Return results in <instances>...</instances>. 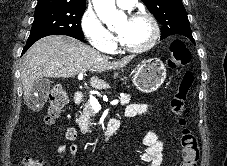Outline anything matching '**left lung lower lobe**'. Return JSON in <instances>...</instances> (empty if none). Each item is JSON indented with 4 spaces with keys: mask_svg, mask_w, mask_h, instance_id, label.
<instances>
[{
    "mask_svg": "<svg viewBox=\"0 0 227 166\" xmlns=\"http://www.w3.org/2000/svg\"><path fill=\"white\" fill-rule=\"evenodd\" d=\"M193 43H195V41H194V39L192 38V39H190Z\"/></svg>",
    "mask_w": 227,
    "mask_h": 166,
    "instance_id": "1",
    "label": "left lung lower lobe"
}]
</instances>
